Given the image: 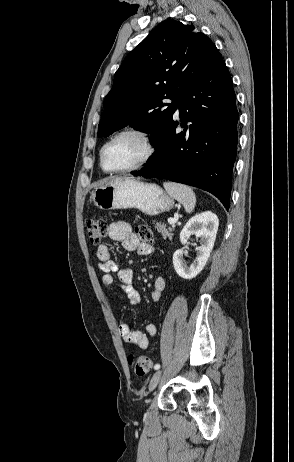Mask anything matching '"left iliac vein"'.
<instances>
[{
    "label": "left iliac vein",
    "instance_id": "left-iliac-vein-1",
    "mask_svg": "<svg viewBox=\"0 0 294 462\" xmlns=\"http://www.w3.org/2000/svg\"><path fill=\"white\" fill-rule=\"evenodd\" d=\"M161 375H162V372L160 370L156 371L152 377H151V380H150V383H149V390L152 391L153 389H155V387L158 385L160 379H161Z\"/></svg>",
    "mask_w": 294,
    "mask_h": 462
}]
</instances>
